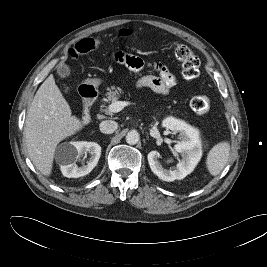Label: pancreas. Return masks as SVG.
<instances>
[{
  "label": "pancreas",
  "instance_id": "obj_1",
  "mask_svg": "<svg viewBox=\"0 0 267 267\" xmlns=\"http://www.w3.org/2000/svg\"><path fill=\"white\" fill-rule=\"evenodd\" d=\"M121 93H123V90L119 87L111 86V88H108V92L106 94V98L103 99L104 102L110 103L115 102L119 99L121 96ZM109 106H106L105 104L101 105V111L105 112V114H110Z\"/></svg>",
  "mask_w": 267,
  "mask_h": 267
}]
</instances>
